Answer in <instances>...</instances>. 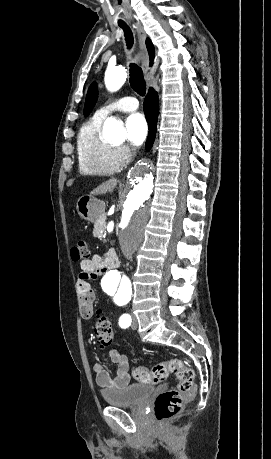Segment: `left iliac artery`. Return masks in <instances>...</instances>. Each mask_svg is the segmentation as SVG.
<instances>
[{"label":"left iliac artery","instance_id":"1","mask_svg":"<svg viewBox=\"0 0 271 459\" xmlns=\"http://www.w3.org/2000/svg\"><path fill=\"white\" fill-rule=\"evenodd\" d=\"M132 319L129 314H123L119 319V325L121 328H127L131 325Z\"/></svg>","mask_w":271,"mask_h":459}]
</instances>
